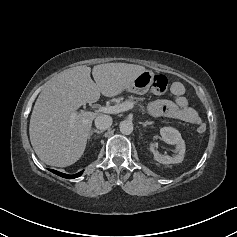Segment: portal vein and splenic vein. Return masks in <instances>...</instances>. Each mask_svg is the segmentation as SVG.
I'll list each match as a JSON object with an SVG mask.
<instances>
[{"mask_svg":"<svg viewBox=\"0 0 237 237\" xmlns=\"http://www.w3.org/2000/svg\"><path fill=\"white\" fill-rule=\"evenodd\" d=\"M133 107H134L133 103L124 102V103L117 104V105H114V106L100 107L98 109V111L102 112V113L116 114V113H120V112H123V111L130 110Z\"/></svg>","mask_w":237,"mask_h":237,"instance_id":"1","label":"portal vein and splenic vein"}]
</instances>
